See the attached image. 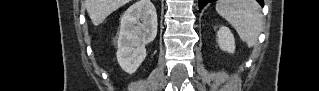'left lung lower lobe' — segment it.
I'll return each instance as SVG.
<instances>
[{
  "instance_id": "1",
  "label": "left lung lower lobe",
  "mask_w": 319,
  "mask_h": 91,
  "mask_svg": "<svg viewBox=\"0 0 319 91\" xmlns=\"http://www.w3.org/2000/svg\"><path fill=\"white\" fill-rule=\"evenodd\" d=\"M210 1L211 0H199V10H201ZM257 2H259L262 6L264 4L263 0H257Z\"/></svg>"
}]
</instances>
